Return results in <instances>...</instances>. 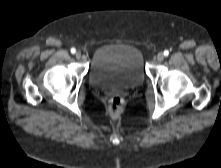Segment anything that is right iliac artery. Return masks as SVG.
Segmentation results:
<instances>
[{"mask_svg":"<svg viewBox=\"0 0 221 168\" xmlns=\"http://www.w3.org/2000/svg\"><path fill=\"white\" fill-rule=\"evenodd\" d=\"M76 52L75 48H71V53L74 54Z\"/></svg>","mask_w":221,"mask_h":168,"instance_id":"82829eb1","label":"right iliac artery"}]
</instances>
